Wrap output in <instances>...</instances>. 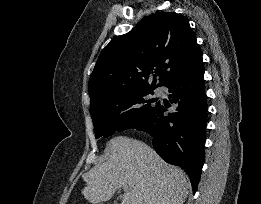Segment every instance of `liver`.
Returning a JSON list of instances; mask_svg holds the SVG:
<instances>
[{
	"instance_id": "liver-1",
	"label": "liver",
	"mask_w": 261,
	"mask_h": 204,
	"mask_svg": "<svg viewBox=\"0 0 261 204\" xmlns=\"http://www.w3.org/2000/svg\"><path fill=\"white\" fill-rule=\"evenodd\" d=\"M106 160L83 178L82 194L96 204L108 201L127 185L121 204H183L190 183L185 172L167 164L150 146L126 136L108 141Z\"/></svg>"
}]
</instances>
